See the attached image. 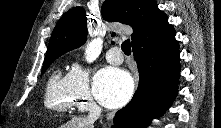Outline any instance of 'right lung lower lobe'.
Returning <instances> with one entry per match:
<instances>
[{
	"label": "right lung lower lobe",
	"mask_w": 221,
	"mask_h": 128,
	"mask_svg": "<svg viewBox=\"0 0 221 128\" xmlns=\"http://www.w3.org/2000/svg\"><path fill=\"white\" fill-rule=\"evenodd\" d=\"M139 85L132 100L114 118L113 128H146L172 104L180 77L179 44L175 34L161 46L132 48Z\"/></svg>",
	"instance_id": "right-lung-lower-lobe-1"
}]
</instances>
